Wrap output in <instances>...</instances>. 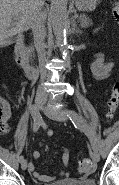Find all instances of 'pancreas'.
<instances>
[{
    "instance_id": "1",
    "label": "pancreas",
    "mask_w": 119,
    "mask_h": 185,
    "mask_svg": "<svg viewBox=\"0 0 119 185\" xmlns=\"http://www.w3.org/2000/svg\"><path fill=\"white\" fill-rule=\"evenodd\" d=\"M80 25L83 28L89 27L91 23V19L87 15H80L79 16Z\"/></svg>"
}]
</instances>
